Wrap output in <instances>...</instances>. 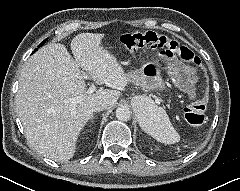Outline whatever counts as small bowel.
Returning <instances> with one entry per match:
<instances>
[{
  "label": "small bowel",
  "instance_id": "small-bowel-1",
  "mask_svg": "<svg viewBox=\"0 0 240 191\" xmlns=\"http://www.w3.org/2000/svg\"><path fill=\"white\" fill-rule=\"evenodd\" d=\"M173 68L177 75L179 86L190 95V98H194L193 92L196 82L194 69L187 65H177Z\"/></svg>",
  "mask_w": 240,
  "mask_h": 191
}]
</instances>
